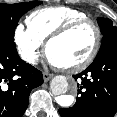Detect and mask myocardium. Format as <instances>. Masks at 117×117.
I'll return each mask as SVG.
<instances>
[{"label": "myocardium", "mask_w": 117, "mask_h": 117, "mask_svg": "<svg viewBox=\"0 0 117 117\" xmlns=\"http://www.w3.org/2000/svg\"><path fill=\"white\" fill-rule=\"evenodd\" d=\"M85 25L92 26L95 31L94 46H93L91 52L89 53V55L81 62L76 63L71 66H67V67H59L60 69L66 71V72L82 71V70L86 69L88 66H90L92 64V62L95 60V58L97 57L98 52L100 50L101 41H102V33H101V29H100L99 25L95 21H93L92 19H89V18L76 20V21L70 22V23L62 26L60 29H58L56 32H54L46 41L45 53H46L47 58L49 59V49H50V46L55 41H58V40L64 38L71 32H73L76 29H78L82 26H85Z\"/></svg>", "instance_id": "myocardium-1"}]
</instances>
